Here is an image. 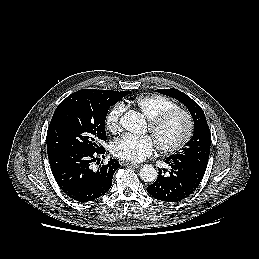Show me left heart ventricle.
Wrapping results in <instances>:
<instances>
[{
	"instance_id": "1",
	"label": "left heart ventricle",
	"mask_w": 259,
	"mask_h": 259,
	"mask_svg": "<svg viewBox=\"0 0 259 259\" xmlns=\"http://www.w3.org/2000/svg\"><path fill=\"white\" fill-rule=\"evenodd\" d=\"M184 131L185 122L183 118L176 116L160 128L154 140L155 142L158 141L164 145H171L183 136Z\"/></svg>"
}]
</instances>
